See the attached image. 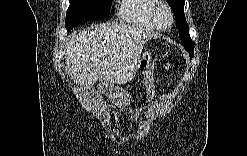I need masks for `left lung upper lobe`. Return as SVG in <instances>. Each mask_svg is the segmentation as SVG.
Returning <instances> with one entry per match:
<instances>
[{
	"instance_id": "1",
	"label": "left lung upper lobe",
	"mask_w": 247,
	"mask_h": 156,
	"mask_svg": "<svg viewBox=\"0 0 247 156\" xmlns=\"http://www.w3.org/2000/svg\"><path fill=\"white\" fill-rule=\"evenodd\" d=\"M176 18L179 37L190 58L194 56V45L189 35V25L186 22L184 14V0H168Z\"/></svg>"
}]
</instances>
